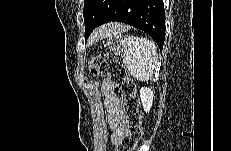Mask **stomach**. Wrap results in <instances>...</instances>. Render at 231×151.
<instances>
[{
    "instance_id": "1",
    "label": "stomach",
    "mask_w": 231,
    "mask_h": 151,
    "mask_svg": "<svg viewBox=\"0 0 231 151\" xmlns=\"http://www.w3.org/2000/svg\"><path fill=\"white\" fill-rule=\"evenodd\" d=\"M124 40L121 34L110 35L105 47L109 48L111 51L120 52L123 48Z\"/></svg>"
}]
</instances>
